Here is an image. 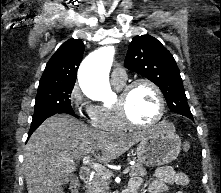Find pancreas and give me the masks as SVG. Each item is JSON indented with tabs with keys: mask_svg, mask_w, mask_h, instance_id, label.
<instances>
[{
	"mask_svg": "<svg viewBox=\"0 0 221 193\" xmlns=\"http://www.w3.org/2000/svg\"><path fill=\"white\" fill-rule=\"evenodd\" d=\"M129 176H146L147 171L140 162H136L130 166ZM109 177L101 175L96 172L92 180L86 185V193H108L109 190Z\"/></svg>",
	"mask_w": 221,
	"mask_h": 193,
	"instance_id": "pancreas-1",
	"label": "pancreas"
}]
</instances>
